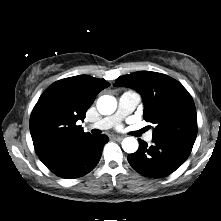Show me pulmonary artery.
I'll return each mask as SVG.
<instances>
[{
  "label": "pulmonary artery",
  "mask_w": 221,
  "mask_h": 221,
  "mask_svg": "<svg viewBox=\"0 0 221 221\" xmlns=\"http://www.w3.org/2000/svg\"><path fill=\"white\" fill-rule=\"evenodd\" d=\"M140 102V95L133 91L124 92L118 100V108L116 112L108 117H105L98 122L91 125L92 128L99 130H106L113 127L116 123L134 111ZM145 140L150 142L152 140V133L145 136Z\"/></svg>",
  "instance_id": "pulmonary-artery-1"
}]
</instances>
